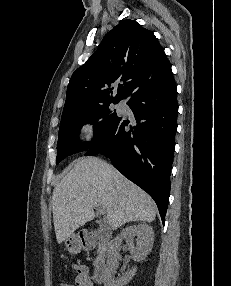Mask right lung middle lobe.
Returning <instances> with one entry per match:
<instances>
[{
  "label": "right lung middle lobe",
  "mask_w": 231,
  "mask_h": 286,
  "mask_svg": "<svg viewBox=\"0 0 231 286\" xmlns=\"http://www.w3.org/2000/svg\"><path fill=\"white\" fill-rule=\"evenodd\" d=\"M118 102L119 100L104 102L62 116L57 144L56 164L68 155L86 150L87 147L85 145L88 146L101 139L119 119L115 113L116 110L109 108L111 103L116 104ZM86 123L94 124L95 135L92 142L84 144L79 141L78 134L81 127Z\"/></svg>",
  "instance_id": "obj_1"
}]
</instances>
